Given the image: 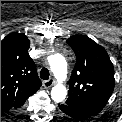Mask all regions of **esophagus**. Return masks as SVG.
I'll return each instance as SVG.
<instances>
[{
	"instance_id": "34e87169",
	"label": "esophagus",
	"mask_w": 122,
	"mask_h": 122,
	"mask_svg": "<svg viewBox=\"0 0 122 122\" xmlns=\"http://www.w3.org/2000/svg\"><path fill=\"white\" fill-rule=\"evenodd\" d=\"M53 84H54V80L53 79H49V80L43 81V86L45 88H50V87L53 86Z\"/></svg>"
}]
</instances>
